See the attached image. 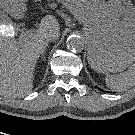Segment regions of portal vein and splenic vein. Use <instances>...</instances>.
Wrapping results in <instances>:
<instances>
[{
	"label": "portal vein and splenic vein",
	"mask_w": 135,
	"mask_h": 135,
	"mask_svg": "<svg viewBox=\"0 0 135 135\" xmlns=\"http://www.w3.org/2000/svg\"><path fill=\"white\" fill-rule=\"evenodd\" d=\"M0 34L1 35H6V36H11L13 37L14 36V31L12 28L8 27V26H5V27H1L0 28ZM21 37H26V36H30V31L29 30H22L21 31Z\"/></svg>",
	"instance_id": "obj_1"
}]
</instances>
